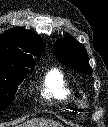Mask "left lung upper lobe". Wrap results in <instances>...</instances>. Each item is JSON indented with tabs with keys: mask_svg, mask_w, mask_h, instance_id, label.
<instances>
[{
	"mask_svg": "<svg viewBox=\"0 0 108 127\" xmlns=\"http://www.w3.org/2000/svg\"><path fill=\"white\" fill-rule=\"evenodd\" d=\"M53 50L59 61L71 69L87 75L92 73L87 52L84 46L75 39L70 37L59 41Z\"/></svg>",
	"mask_w": 108,
	"mask_h": 127,
	"instance_id": "left-lung-upper-lobe-1",
	"label": "left lung upper lobe"
}]
</instances>
